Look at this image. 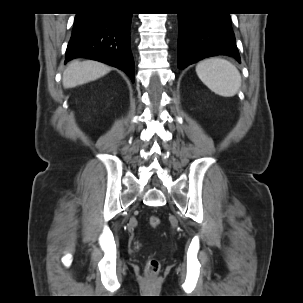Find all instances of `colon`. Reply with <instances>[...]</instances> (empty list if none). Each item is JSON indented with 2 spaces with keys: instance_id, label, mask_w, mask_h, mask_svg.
<instances>
[{
  "instance_id": "colon-1",
  "label": "colon",
  "mask_w": 303,
  "mask_h": 303,
  "mask_svg": "<svg viewBox=\"0 0 303 303\" xmlns=\"http://www.w3.org/2000/svg\"><path fill=\"white\" fill-rule=\"evenodd\" d=\"M149 224L151 227L156 228L160 225V219L157 216H151L149 219ZM160 271V263L159 261L151 257L148 259L146 263V273L150 277H155Z\"/></svg>"
}]
</instances>
